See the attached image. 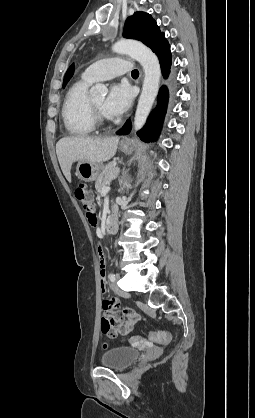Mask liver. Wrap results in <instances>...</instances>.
<instances>
[{
  "instance_id": "obj_1",
  "label": "liver",
  "mask_w": 255,
  "mask_h": 418,
  "mask_svg": "<svg viewBox=\"0 0 255 418\" xmlns=\"http://www.w3.org/2000/svg\"><path fill=\"white\" fill-rule=\"evenodd\" d=\"M119 137L104 139L83 136L64 137L56 144V153L62 172L71 182V167L76 161L103 163L117 151Z\"/></svg>"
}]
</instances>
